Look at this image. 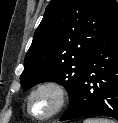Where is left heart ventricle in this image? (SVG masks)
Masks as SVG:
<instances>
[{
    "mask_svg": "<svg viewBox=\"0 0 118 123\" xmlns=\"http://www.w3.org/2000/svg\"><path fill=\"white\" fill-rule=\"evenodd\" d=\"M55 104V97L49 91L42 92L36 95L32 102V111L37 115H45L49 113Z\"/></svg>",
    "mask_w": 118,
    "mask_h": 123,
    "instance_id": "b2bd125f",
    "label": "left heart ventricle"
}]
</instances>
